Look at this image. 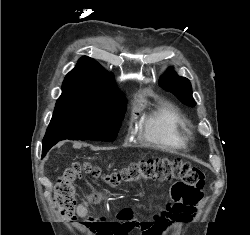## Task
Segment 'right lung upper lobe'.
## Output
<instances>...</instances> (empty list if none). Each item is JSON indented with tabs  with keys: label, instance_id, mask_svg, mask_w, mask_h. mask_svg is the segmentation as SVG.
I'll return each instance as SVG.
<instances>
[{
	"label": "right lung upper lobe",
	"instance_id": "cb5924a9",
	"mask_svg": "<svg viewBox=\"0 0 250 235\" xmlns=\"http://www.w3.org/2000/svg\"><path fill=\"white\" fill-rule=\"evenodd\" d=\"M120 95L123 94L117 89L113 75L94 59L84 56L65 77L59 99L112 98Z\"/></svg>",
	"mask_w": 250,
	"mask_h": 235
}]
</instances>
